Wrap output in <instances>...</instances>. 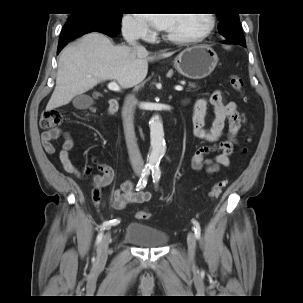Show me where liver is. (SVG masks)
<instances>
[{"mask_svg": "<svg viewBox=\"0 0 303 303\" xmlns=\"http://www.w3.org/2000/svg\"><path fill=\"white\" fill-rule=\"evenodd\" d=\"M161 53L160 57H169ZM149 52L115 46L108 37L93 32L77 43L66 47L59 58L56 86L46 110L67 105L75 96L83 94L106 80H116L123 88L140 84L148 72Z\"/></svg>", "mask_w": 303, "mask_h": 303, "instance_id": "1", "label": "liver"}]
</instances>
